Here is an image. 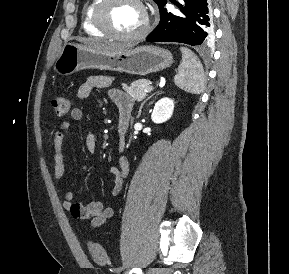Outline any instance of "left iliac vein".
Returning a JSON list of instances; mask_svg holds the SVG:
<instances>
[{"label":"left iliac vein","instance_id":"obj_1","mask_svg":"<svg viewBox=\"0 0 289 274\" xmlns=\"http://www.w3.org/2000/svg\"><path fill=\"white\" fill-rule=\"evenodd\" d=\"M115 272H116V273H120V272H121V270H120V271H118V270H115Z\"/></svg>","mask_w":289,"mask_h":274}]
</instances>
